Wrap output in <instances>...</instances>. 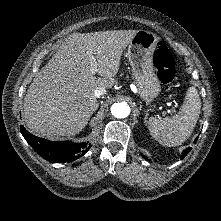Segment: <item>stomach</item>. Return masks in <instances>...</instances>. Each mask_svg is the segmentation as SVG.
Masks as SVG:
<instances>
[{
  "mask_svg": "<svg viewBox=\"0 0 221 221\" xmlns=\"http://www.w3.org/2000/svg\"><path fill=\"white\" fill-rule=\"evenodd\" d=\"M158 42L159 38L154 33L139 30L131 40L127 51L138 94L147 104L151 103L161 90L153 64Z\"/></svg>",
  "mask_w": 221,
  "mask_h": 221,
  "instance_id": "1",
  "label": "stomach"
}]
</instances>
